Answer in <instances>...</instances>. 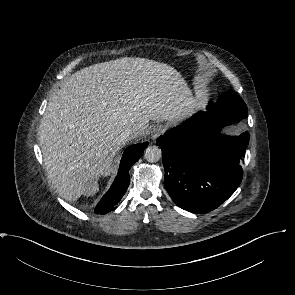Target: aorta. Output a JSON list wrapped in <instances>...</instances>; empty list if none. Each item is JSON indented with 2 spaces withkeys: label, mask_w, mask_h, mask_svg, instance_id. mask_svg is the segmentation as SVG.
I'll return each instance as SVG.
<instances>
[{
  "label": "aorta",
  "mask_w": 295,
  "mask_h": 295,
  "mask_svg": "<svg viewBox=\"0 0 295 295\" xmlns=\"http://www.w3.org/2000/svg\"><path fill=\"white\" fill-rule=\"evenodd\" d=\"M144 156L148 162L154 163L160 160L162 151L158 146H149L146 149Z\"/></svg>",
  "instance_id": "1"
}]
</instances>
